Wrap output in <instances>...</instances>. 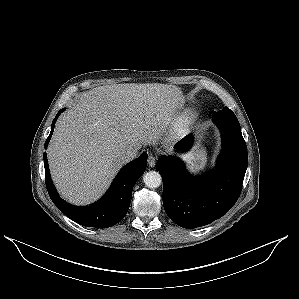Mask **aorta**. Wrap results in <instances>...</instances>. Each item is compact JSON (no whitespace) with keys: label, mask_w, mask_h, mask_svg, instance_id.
<instances>
[{"label":"aorta","mask_w":299,"mask_h":299,"mask_svg":"<svg viewBox=\"0 0 299 299\" xmlns=\"http://www.w3.org/2000/svg\"><path fill=\"white\" fill-rule=\"evenodd\" d=\"M143 181L149 188H157L162 183L161 175L156 171H149L144 174Z\"/></svg>","instance_id":"obj_1"}]
</instances>
